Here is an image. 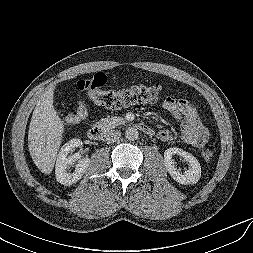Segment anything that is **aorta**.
Returning a JSON list of instances; mask_svg holds the SVG:
<instances>
[{
	"label": "aorta",
	"instance_id": "762f6f07",
	"mask_svg": "<svg viewBox=\"0 0 253 253\" xmlns=\"http://www.w3.org/2000/svg\"><path fill=\"white\" fill-rule=\"evenodd\" d=\"M125 137L129 141H134L139 137V132L136 128L129 127L125 131Z\"/></svg>",
	"mask_w": 253,
	"mask_h": 253
}]
</instances>
